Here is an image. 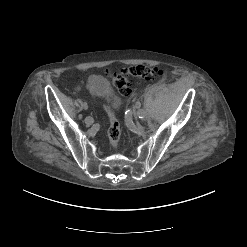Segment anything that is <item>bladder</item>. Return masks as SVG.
<instances>
[{
	"instance_id": "31cf9c89",
	"label": "bladder",
	"mask_w": 247,
	"mask_h": 247,
	"mask_svg": "<svg viewBox=\"0 0 247 247\" xmlns=\"http://www.w3.org/2000/svg\"><path fill=\"white\" fill-rule=\"evenodd\" d=\"M90 94L99 99L107 110L116 111L119 107L120 100L114 94L110 82L101 75L91 76L87 83Z\"/></svg>"
}]
</instances>
